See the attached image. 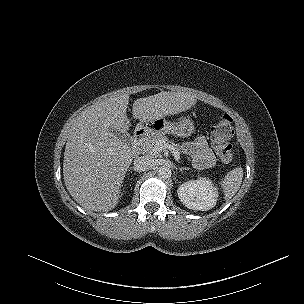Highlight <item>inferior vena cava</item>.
Segmentation results:
<instances>
[{"label": "inferior vena cava", "instance_id": "obj_1", "mask_svg": "<svg viewBox=\"0 0 304 304\" xmlns=\"http://www.w3.org/2000/svg\"><path fill=\"white\" fill-rule=\"evenodd\" d=\"M152 167H154V160L147 156L134 159V169L138 172L148 171Z\"/></svg>", "mask_w": 304, "mask_h": 304}]
</instances>
